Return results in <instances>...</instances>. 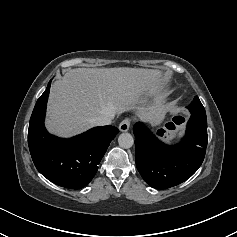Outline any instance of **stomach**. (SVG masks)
I'll list each match as a JSON object with an SVG mask.
<instances>
[{
    "mask_svg": "<svg viewBox=\"0 0 237 237\" xmlns=\"http://www.w3.org/2000/svg\"><path fill=\"white\" fill-rule=\"evenodd\" d=\"M165 117V112L161 109L158 108L156 109L149 117V122L153 126L159 125Z\"/></svg>",
    "mask_w": 237,
    "mask_h": 237,
    "instance_id": "0dacf381",
    "label": "stomach"
}]
</instances>
